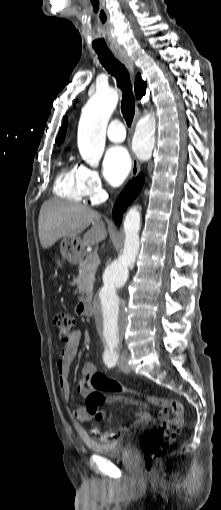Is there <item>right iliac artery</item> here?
<instances>
[{
    "label": "right iliac artery",
    "instance_id": "82829eb1",
    "mask_svg": "<svg viewBox=\"0 0 221 510\" xmlns=\"http://www.w3.org/2000/svg\"><path fill=\"white\" fill-rule=\"evenodd\" d=\"M118 360V354L114 350H106L104 352V362L108 367H114Z\"/></svg>",
    "mask_w": 221,
    "mask_h": 510
}]
</instances>
